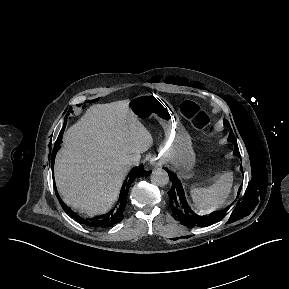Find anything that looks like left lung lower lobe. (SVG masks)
<instances>
[{"label":"left lung lower lobe","instance_id":"obj_1","mask_svg":"<svg viewBox=\"0 0 289 289\" xmlns=\"http://www.w3.org/2000/svg\"><path fill=\"white\" fill-rule=\"evenodd\" d=\"M167 172L169 178L172 179V188L168 192L170 198L169 204L174 217H178L183 225L205 227L223 218L224 215L199 216L195 214L186 202L183 187L179 179L170 171L167 170Z\"/></svg>","mask_w":289,"mask_h":289}]
</instances>
